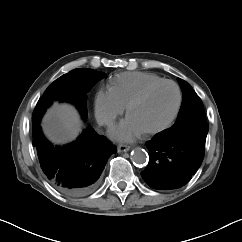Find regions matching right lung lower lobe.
I'll use <instances>...</instances> for the list:
<instances>
[{
  "label": "right lung lower lobe",
  "instance_id": "right-lung-lower-lobe-1",
  "mask_svg": "<svg viewBox=\"0 0 242 242\" xmlns=\"http://www.w3.org/2000/svg\"><path fill=\"white\" fill-rule=\"evenodd\" d=\"M32 126L33 146L49 182L70 196L93 191L108 158L117 151L115 146L90 126L75 142L55 146L42 134L40 121Z\"/></svg>",
  "mask_w": 242,
  "mask_h": 242
}]
</instances>
